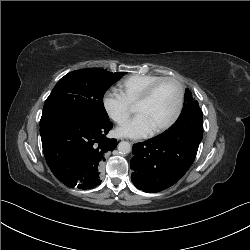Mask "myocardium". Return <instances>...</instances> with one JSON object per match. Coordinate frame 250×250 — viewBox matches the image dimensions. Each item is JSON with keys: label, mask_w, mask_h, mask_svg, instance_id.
I'll list each match as a JSON object with an SVG mask.
<instances>
[{"label": "myocardium", "mask_w": 250, "mask_h": 250, "mask_svg": "<svg viewBox=\"0 0 250 250\" xmlns=\"http://www.w3.org/2000/svg\"><path fill=\"white\" fill-rule=\"evenodd\" d=\"M169 81L175 83L178 87V99H177L176 109H175V112H174L173 116L171 117V119L167 123H165L163 126L153 130L152 135H158V134L166 132L177 122V120L181 114L182 107H183V101H184L183 84L181 83L180 80H178L175 77H163V78L157 80L156 82L152 83L144 91V93L138 98V100L135 103V107L140 105V104L146 103L147 101H149L151 99V97L153 96V94L155 93V91L157 90V88L161 84H163L165 82H169Z\"/></svg>", "instance_id": "obj_1"}]
</instances>
